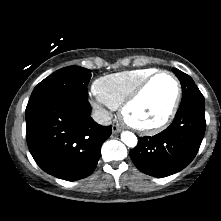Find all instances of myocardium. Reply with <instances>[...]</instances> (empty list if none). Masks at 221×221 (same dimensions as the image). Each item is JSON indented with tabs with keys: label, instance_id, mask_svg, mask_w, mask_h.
Here are the masks:
<instances>
[{
	"label": "myocardium",
	"instance_id": "obj_1",
	"mask_svg": "<svg viewBox=\"0 0 221 221\" xmlns=\"http://www.w3.org/2000/svg\"><path fill=\"white\" fill-rule=\"evenodd\" d=\"M160 75H168L173 80L176 87V94L169 112L160 122L151 126H139L132 123L127 117L128 109L138 100V98L142 95L149 84ZM181 96L182 88L177 76L173 72L168 70H157L146 77L144 80H142L124 99V101L120 105V115L123 122L134 131L143 135H154L164 130L173 121L180 105Z\"/></svg>",
	"mask_w": 221,
	"mask_h": 221
}]
</instances>
